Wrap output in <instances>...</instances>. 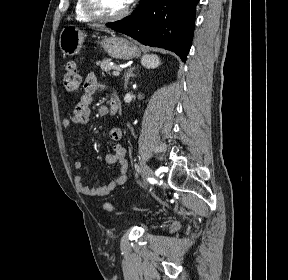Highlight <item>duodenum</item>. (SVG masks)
Here are the masks:
<instances>
[{
    "label": "duodenum",
    "mask_w": 288,
    "mask_h": 280,
    "mask_svg": "<svg viewBox=\"0 0 288 280\" xmlns=\"http://www.w3.org/2000/svg\"><path fill=\"white\" fill-rule=\"evenodd\" d=\"M118 112V102L115 98H112L109 103V113L115 115Z\"/></svg>",
    "instance_id": "1"
}]
</instances>
